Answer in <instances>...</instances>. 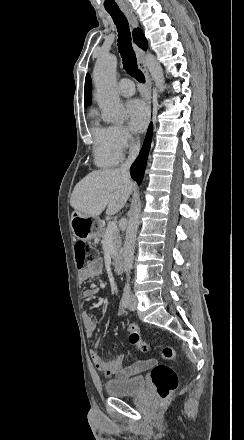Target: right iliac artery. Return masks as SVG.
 <instances>
[{
	"instance_id": "82829eb1",
	"label": "right iliac artery",
	"mask_w": 244,
	"mask_h": 440,
	"mask_svg": "<svg viewBox=\"0 0 244 440\" xmlns=\"http://www.w3.org/2000/svg\"><path fill=\"white\" fill-rule=\"evenodd\" d=\"M129 299H130V289L128 287H126L124 289L122 300H121L122 307H124V308L128 307L129 301H130Z\"/></svg>"
}]
</instances>
